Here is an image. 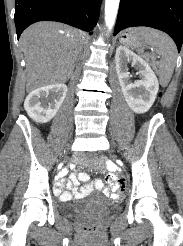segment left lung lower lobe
<instances>
[{
  "label": "left lung lower lobe",
  "mask_w": 183,
  "mask_h": 246,
  "mask_svg": "<svg viewBox=\"0 0 183 246\" xmlns=\"http://www.w3.org/2000/svg\"><path fill=\"white\" fill-rule=\"evenodd\" d=\"M133 26L162 30L180 52L183 43V0H121L114 35Z\"/></svg>",
  "instance_id": "left-lung-lower-lobe-1"
}]
</instances>
